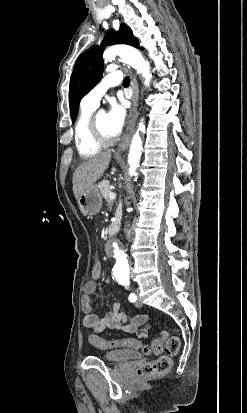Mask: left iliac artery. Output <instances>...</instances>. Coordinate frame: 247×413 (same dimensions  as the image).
Here are the masks:
<instances>
[{
    "label": "left iliac artery",
    "instance_id": "1",
    "mask_svg": "<svg viewBox=\"0 0 247 413\" xmlns=\"http://www.w3.org/2000/svg\"><path fill=\"white\" fill-rule=\"evenodd\" d=\"M125 287L127 288V285ZM128 299L130 302H135L137 300V296L134 293H131Z\"/></svg>",
    "mask_w": 247,
    "mask_h": 413
}]
</instances>
